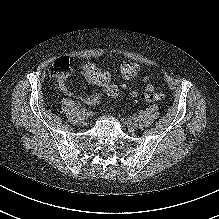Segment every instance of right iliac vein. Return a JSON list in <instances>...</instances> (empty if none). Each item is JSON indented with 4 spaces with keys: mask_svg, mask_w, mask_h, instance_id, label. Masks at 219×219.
Wrapping results in <instances>:
<instances>
[{
    "mask_svg": "<svg viewBox=\"0 0 219 219\" xmlns=\"http://www.w3.org/2000/svg\"><path fill=\"white\" fill-rule=\"evenodd\" d=\"M88 120V115L87 114H82L81 116H80V121L81 122H86Z\"/></svg>",
    "mask_w": 219,
    "mask_h": 219,
    "instance_id": "obj_1",
    "label": "right iliac vein"
}]
</instances>
